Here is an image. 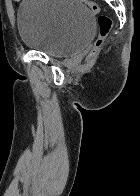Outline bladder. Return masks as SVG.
Returning a JSON list of instances; mask_svg holds the SVG:
<instances>
[{"instance_id": "31cf9c89", "label": "bladder", "mask_w": 140, "mask_h": 196, "mask_svg": "<svg viewBox=\"0 0 140 196\" xmlns=\"http://www.w3.org/2000/svg\"><path fill=\"white\" fill-rule=\"evenodd\" d=\"M17 26L25 46L51 57L80 52L96 30L93 11L79 0H24Z\"/></svg>"}]
</instances>
